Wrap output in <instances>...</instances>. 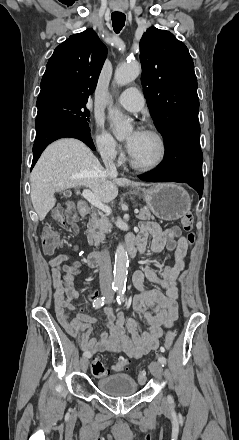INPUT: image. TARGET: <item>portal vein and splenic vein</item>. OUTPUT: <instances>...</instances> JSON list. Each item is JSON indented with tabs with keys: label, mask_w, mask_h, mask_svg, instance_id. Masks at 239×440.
<instances>
[{
	"label": "portal vein and splenic vein",
	"mask_w": 239,
	"mask_h": 440,
	"mask_svg": "<svg viewBox=\"0 0 239 440\" xmlns=\"http://www.w3.org/2000/svg\"><path fill=\"white\" fill-rule=\"evenodd\" d=\"M82 196L85 198V200H87V202H89V204H92V206L98 208V210H102V212H105V214H108V216L111 214V208L106 206V204H102L99 198H96V196H94L90 190H83ZM133 213L138 215V209H135Z\"/></svg>",
	"instance_id": "obj_1"
}]
</instances>
